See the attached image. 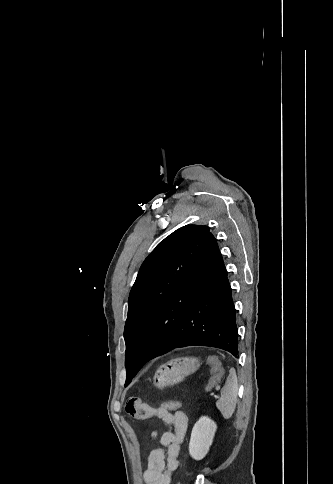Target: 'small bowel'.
<instances>
[{
	"label": "small bowel",
	"instance_id": "1",
	"mask_svg": "<svg viewBox=\"0 0 333 484\" xmlns=\"http://www.w3.org/2000/svg\"><path fill=\"white\" fill-rule=\"evenodd\" d=\"M126 411L137 419L158 418L169 427L160 437L156 432L152 433L160 447L150 452L143 480L145 484H171L179 467L180 454L189 426L187 415L181 410L161 411L135 397L127 401Z\"/></svg>",
	"mask_w": 333,
	"mask_h": 484
}]
</instances>
